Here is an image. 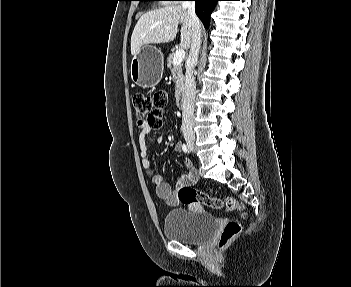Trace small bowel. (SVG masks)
<instances>
[{
  "label": "small bowel",
  "mask_w": 351,
  "mask_h": 287,
  "mask_svg": "<svg viewBox=\"0 0 351 287\" xmlns=\"http://www.w3.org/2000/svg\"><path fill=\"white\" fill-rule=\"evenodd\" d=\"M139 153L142 160V165L144 170L152 177L153 184L156 188V193L159 198L164 200L169 205H177L178 204V189L182 188L183 186L194 185L197 182V174L195 169L193 168L190 161L185 162V167L187 173L181 176L176 182V189L173 190L171 186L166 183L162 176L155 173V168L153 163L149 160L148 153H149V140L148 136L152 130L147 123L146 120H139ZM164 137L158 136L156 138L157 143L163 142ZM181 143L175 144V151L181 152L182 149Z\"/></svg>",
  "instance_id": "c3829d8e"
}]
</instances>
